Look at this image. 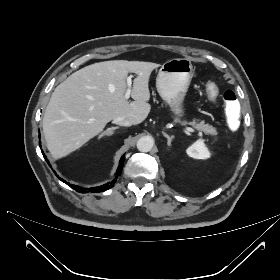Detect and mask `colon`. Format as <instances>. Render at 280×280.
Here are the masks:
<instances>
[{"label": "colon", "mask_w": 280, "mask_h": 280, "mask_svg": "<svg viewBox=\"0 0 280 280\" xmlns=\"http://www.w3.org/2000/svg\"><path fill=\"white\" fill-rule=\"evenodd\" d=\"M204 91L210 101H215L217 99L219 90L215 83L207 82L204 86ZM222 97L228 114L226 126L229 130L236 132L240 129L242 123V105L237 100L236 93L232 90L224 91Z\"/></svg>", "instance_id": "colon-1"}]
</instances>
